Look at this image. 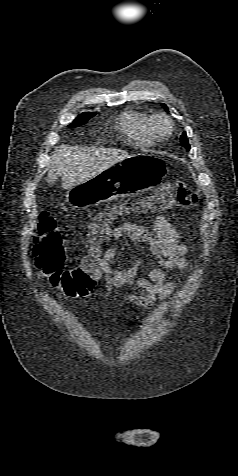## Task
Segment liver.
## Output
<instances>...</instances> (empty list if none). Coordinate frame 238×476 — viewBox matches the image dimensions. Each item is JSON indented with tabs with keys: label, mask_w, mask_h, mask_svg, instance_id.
<instances>
[{
	"label": "liver",
	"mask_w": 238,
	"mask_h": 476,
	"mask_svg": "<svg viewBox=\"0 0 238 476\" xmlns=\"http://www.w3.org/2000/svg\"><path fill=\"white\" fill-rule=\"evenodd\" d=\"M127 157L126 151L115 148L82 149L60 145L52 153L46 181L54 184L62 176V188L70 189Z\"/></svg>",
	"instance_id": "6515ba94"
}]
</instances>
